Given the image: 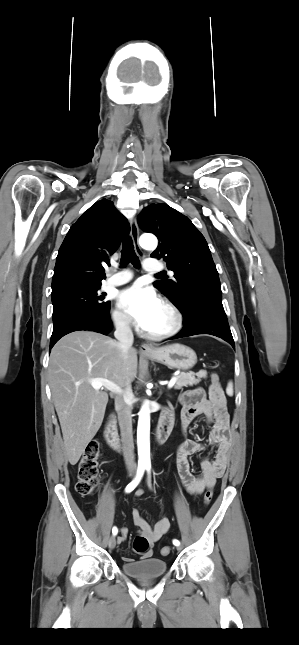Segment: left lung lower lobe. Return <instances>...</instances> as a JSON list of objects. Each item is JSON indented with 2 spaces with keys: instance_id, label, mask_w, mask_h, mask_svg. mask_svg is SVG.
Instances as JSON below:
<instances>
[{
  "instance_id": "1",
  "label": "left lung lower lobe",
  "mask_w": 299,
  "mask_h": 645,
  "mask_svg": "<svg viewBox=\"0 0 299 645\" xmlns=\"http://www.w3.org/2000/svg\"><path fill=\"white\" fill-rule=\"evenodd\" d=\"M193 314L188 316L183 312V330L171 339L197 334H210L229 342L235 348L229 328L227 316L222 305V294L219 290L206 293L203 298L193 305Z\"/></svg>"
}]
</instances>
